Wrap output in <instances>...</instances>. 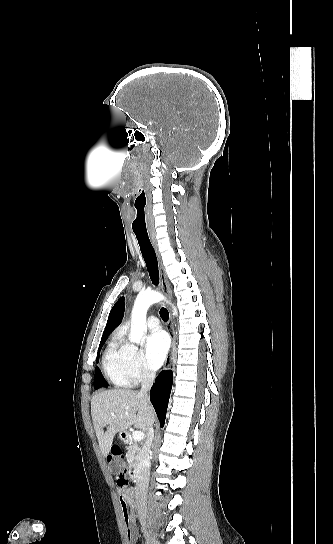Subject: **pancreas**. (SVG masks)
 I'll return each instance as SVG.
<instances>
[{"instance_id": "1", "label": "pancreas", "mask_w": 333, "mask_h": 544, "mask_svg": "<svg viewBox=\"0 0 333 544\" xmlns=\"http://www.w3.org/2000/svg\"><path fill=\"white\" fill-rule=\"evenodd\" d=\"M127 444H128V447H127L126 458L129 464H133L134 462L138 460V457H139V452H140L139 444L133 439H127Z\"/></svg>"}]
</instances>
